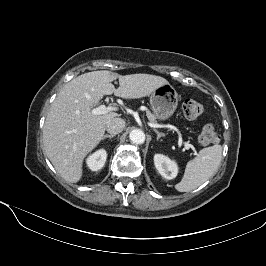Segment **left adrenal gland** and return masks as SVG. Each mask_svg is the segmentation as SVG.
I'll return each instance as SVG.
<instances>
[{"instance_id":"1","label":"left adrenal gland","mask_w":266,"mask_h":266,"mask_svg":"<svg viewBox=\"0 0 266 266\" xmlns=\"http://www.w3.org/2000/svg\"><path fill=\"white\" fill-rule=\"evenodd\" d=\"M154 131L157 134V140H159L161 137H164L165 135L163 133H160L158 130L154 129Z\"/></svg>"}]
</instances>
